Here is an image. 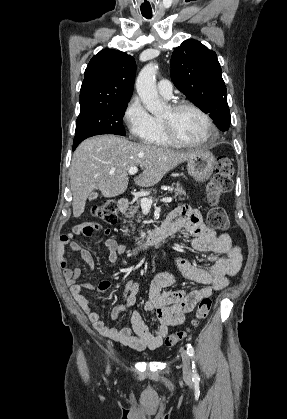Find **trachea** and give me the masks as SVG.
Returning <instances> with one entry per match:
<instances>
[{
  "label": "trachea",
  "mask_w": 287,
  "mask_h": 419,
  "mask_svg": "<svg viewBox=\"0 0 287 419\" xmlns=\"http://www.w3.org/2000/svg\"><path fill=\"white\" fill-rule=\"evenodd\" d=\"M143 16L147 19H150L152 17V15H147V14H143Z\"/></svg>",
  "instance_id": "1"
}]
</instances>
